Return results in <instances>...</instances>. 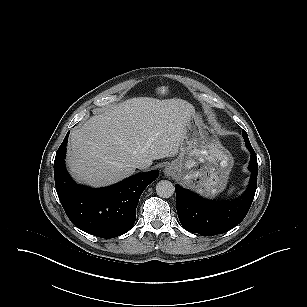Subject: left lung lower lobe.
I'll return each mask as SVG.
<instances>
[{"mask_svg":"<svg viewBox=\"0 0 307 307\" xmlns=\"http://www.w3.org/2000/svg\"><path fill=\"white\" fill-rule=\"evenodd\" d=\"M249 170L250 182L247 190L237 200L216 202L207 200L176 185L177 213L184 229L202 236L225 233L242 222L254 199L257 188V158L251 145Z\"/></svg>","mask_w":307,"mask_h":307,"instance_id":"left-lung-lower-lobe-1","label":"left lung lower lobe"}]
</instances>
